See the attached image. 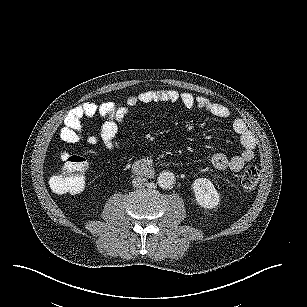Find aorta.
Returning a JSON list of instances; mask_svg holds the SVG:
<instances>
[{"label":"aorta","mask_w":307,"mask_h":307,"mask_svg":"<svg viewBox=\"0 0 307 307\" xmlns=\"http://www.w3.org/2000/svg\"><path fill=\"white\" fill-rule=\"evenodd\" d=\"M175 183V175L170 171H162L157 177V184L162 189H171Z\"/></svg>","instance_id":"obj_1"}]
</instances>
